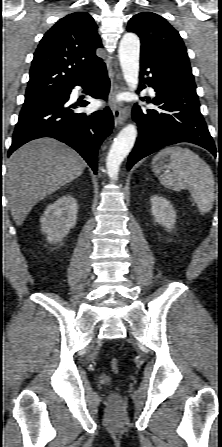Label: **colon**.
Instances as JSON below:
<instances>
[{"instance_id": "colon-1", "label": "colon", "mask_w": 222, "mask_h": 447, "mask_svg": "<svg viewBox=\"0 0 222 447\" xmlns=\"http://www.w3.org/2000/svg\"><path fill=\"white\" fill-rule=\"evenodd\" d=\"M111 369L113 372L117 373L119 371V363L117 359H112L110 362ZM110 400L113 403H116L119 401V395L117 393H112L110 395Z\"/></svg>"}]
</instances>
